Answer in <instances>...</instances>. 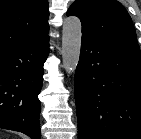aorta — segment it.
<instances>
[{
    "label": "aorta",
    "instance_id": "1",
    "mask_svg": "<svg viewBox=\"0 0 141 139\" xmlns=\"http://www.w3.org/2000/svg\"><path fill=\"white\" fill-rule=\"evenodd\" d=\"M82 25L76 16L64 20L62 31V61L67 73H73L77 67L81 51Z\"/></svg>",
    "mask_w": 141,
    "mask_h": 139
}]
</instances>
